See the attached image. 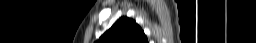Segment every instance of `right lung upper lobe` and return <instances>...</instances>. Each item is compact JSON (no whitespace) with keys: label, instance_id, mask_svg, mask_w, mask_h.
I'll list each match as a JSON object with an SVG mask.
<instances>
[{"label":"right lung upper lobe","instance_id":"right-lung-upper-lobe-1","mask_svg":"<svg viewBox=\"0 0 256 43\" xmlns=\"http://www.w3.org/2000/svg\"><path fill=\"white\" fill-rule=\"evenodd\" d=\"M97 43H148L141 27L132 19L121 17Z\"/></svg>","mask_w":256,"mask_h":43}]
</instances>
